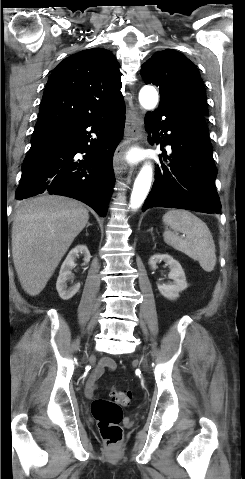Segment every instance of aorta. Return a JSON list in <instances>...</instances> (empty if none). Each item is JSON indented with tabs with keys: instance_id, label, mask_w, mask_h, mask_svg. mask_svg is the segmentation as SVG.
Instances as JSON below:
<instances>
[{
	"instance_id": "aorta-1",
	"label": "aorta",
	"mask_w": 245,
	"mask_h": 479,
	"mask_svg": "<svg viewBox=\"0 0 245 479\" xmlns=\"http://www.w3.org/2000/svg\"><path fill=\"white\" fill-rule=\"evenodd\" d=\"M139 102L142 107L147 110L154 109L158 103V93L156 89L151 86L143 87L139 93ZM151 181V165L145 164L134 182L130 198V207L132 209H138L142 205L150 190Z\"/></svg>"
}]
</instances>
